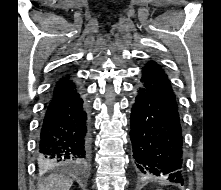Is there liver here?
Segmentation results:
<instances>
[{"mask_svg":"<svg viewBox=\"0 0 221 190\" xmlns=\"http://www.w3.org/2000/svg\"><path fill=\"white\" fill-rule=\"evenodd\" d=\"M73 180L62 175L51 174L38 183V190H69Z\"/></svg>","mask_w":221,"mask_h":190,"instance_id":"obj_1","label":"liver"}]
</instances>
